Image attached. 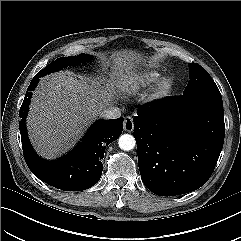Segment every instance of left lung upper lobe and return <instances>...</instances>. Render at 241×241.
<instances>
[{"instance_id":"left-lung-upper-lobe-1","label":"left lung upper lobe","mask_w":241,"mask_h":241,"mask_svg":"<svg viewBox=\"0 0 241 241\" xmlns=\"http://www.w3.org/2000/svg\"><path fill=\"white\" fill-rule=\"evenodd\" d=\"M209 93L220 96V91L208 72L197 63H190V80L183 95Z\"/></svg>"}]
</instances>
